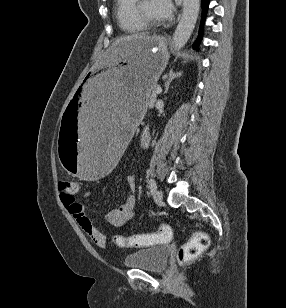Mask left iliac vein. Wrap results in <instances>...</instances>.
Here are the masks:
<instances>
[{
  "label": "left iliac vein",
  "instance_id": "4c4485c4",
  "mask_svg": "<svg viewBox=\"0 0 286 308\" xmlns=\"http://www.w3.org/2000/svg\"><path fill=\"white\" fill-rule=\"evenodd\" d=\"M153 200L156 202V203H161L162 200H163V194L161 191H158L156 190L153 194Z\"/></svg>",
  "mask_w": 286,
  "mask_h": 308
}]
</instances>
